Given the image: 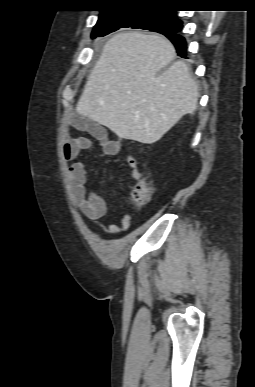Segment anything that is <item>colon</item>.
<instances>
[{
	"label": "colon",
	"mask_w": 255,
	"mask_h": 387,
	"mask_svg": "<svg viewBox=\"0 0 255 387\" xmlns=\"http://www.w3.org/2000/svg\"><path fill=\"white\" fill-rule=\"evenodd\" d=\"M152 194V181L150 178L145 177L138 181L133 187L130 194V202L134 207L140 208L150 201Z\"/></svg>",
	"instance_id": "5ec220e1"
}]
</instances>
